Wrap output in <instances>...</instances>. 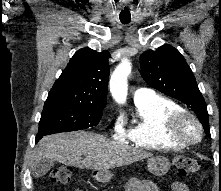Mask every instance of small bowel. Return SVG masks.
<instances>
[{
	"mask_svg": "<svg viewBox=\"0 0 221 191\" xmlns=\"http://www.w3.org/2000/svg\"><path fill=\"white\" fill-rule=\"evenodd\" d=\"M171 189L172 191H189L187 185L180 181L173 182ZM126 191H158V188L150 180L133 178L127 184Z\"/></svg>",
	"mask_w": 221,
	"mask_h": 191,
	"instance_id": "c3829d8e",
	"label": "small bowel"
}]
</instances>
